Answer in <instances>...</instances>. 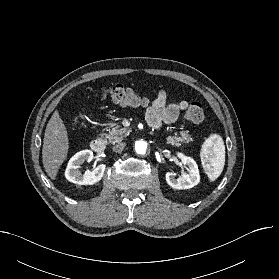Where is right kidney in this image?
Wrapping results in <instances>:
<instances>
[{"instance_id":"ca27d5eb","label":"right kidney","mask_w":279,"mask_h":279,"mask_svg":"<svg viewBox=\"0 0 279 279\" xmlns=\"http://www.w3.org/2000/svg\"><path fill=\"white\" fill-rule=\"evenodd\" d=\"M93 152L91 150H82L77 152L68 162L65 170V177L68 181L78 185H94L99 182L106 169V165L101 164L93 170H88L82 174L78 169L84 161H91Z\"/></svg>"}]
</instances>
